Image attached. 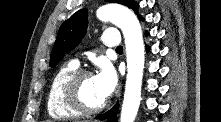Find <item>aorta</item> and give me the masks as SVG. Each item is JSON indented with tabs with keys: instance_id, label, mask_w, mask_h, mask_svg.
<instances>
[{
	"instance_id": "obj_1",
	"label": "aorta",
	"mask_w": 221,
	"mask_h": 122,
	"mask_svg": "<svg viewBox=\"0 0 221 122\" xmlns=\"http://www.w3.org/2000/svg\"><path fill=\"white\" fill-rule=\"evenodd\" d=\"M97 17L118 26L124 35L127 77L120 122H134L141 101L144 69V43L141 26L135 14L120 4H107L97 10Z\"/></svg>"
}]
</instances>
